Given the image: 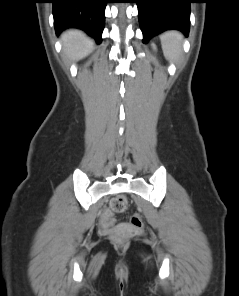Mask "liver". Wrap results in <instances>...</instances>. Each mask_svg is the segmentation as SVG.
Masks as SVG:
<instances>
[{
	"label": "liver",
	"instance_id": "1",
	"mask_svg": "<svg viewBox=\"0 0 239 296\" xmlns=\"http://www.w3.org/2000/svg\"><path fill=\"white\" fill-rule=\"evenodd\" d=\"M62 44L65 54L72 60L86 57L94 47L92 39L79 30L71 29L63 33Z\"/></svg>",
	"mask_w": 239,
	"mask_h": 296
}]
</instances>
